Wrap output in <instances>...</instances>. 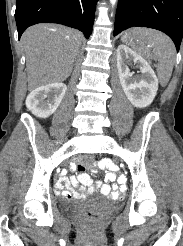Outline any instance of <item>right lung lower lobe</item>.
<instances>
[{"label":"right lung lower lobe","instance_id":"obj_1","mask_svg":"<svg viewBox=\"0 0 183 246\" xmlns=\"http://www.w3.org/2000/svg\"><path fill=\"white\" fill-rule=\"evenodd\" d=\"M98 0H16L15 19L18 38L31 25L58 23L92 33Z\"/></svg>","mask_w":183,"mask_h":246}]
</instances>
